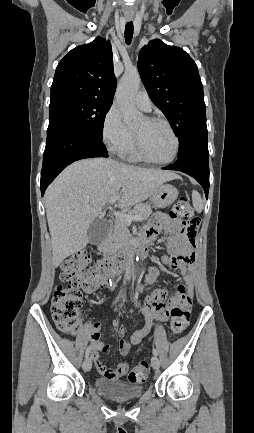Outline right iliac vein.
<instances>
[{
    "instance_id": "1",
    "label": "right iliac vein",
    "mask_w": 254,
    "mask_h": 433,
    "mask_svg": "<svg viewBox=\"0 0 254 433\" xmlns=\"http://www.w3.org/2000/svg\"><path fill=\"white\" fill-rule=\"evenodd\" d=\"M91 367H92V361L89 357H87L82 364V368L84 371L88 372L90 371Z\"/></svg>"
}]
</instances>
